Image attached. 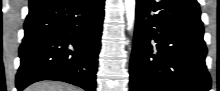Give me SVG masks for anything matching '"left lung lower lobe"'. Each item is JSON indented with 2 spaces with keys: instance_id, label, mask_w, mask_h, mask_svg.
<instances>
[{
  "instance_id": "0a47b994",
  "label": "left lung lower lobe",
  "mask_w": 220,
  "mask_h": 91,
  "mask_svg": "<svg viewBox=\"0 0 220 91\" xmlns=\"http://www.w3.org/2000/svg\"><path fill=\"white\" fill-rule=\"evenodd\" d=\"M197 0H137L130 91H209Z\"/></svg>"
}]
</instances>
